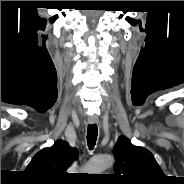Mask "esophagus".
<instances>
[{
    "label": "esophagus",
    "instance_id": "34e87169",
    "mask_svg": "<svg viewBox=\"0 0 184 184\" xmlns=\"http://www.w3.org/2000/svg\"><path fill=\"white\" fill-rule=\"evenodd\" d=\"M98 122H99L98 117H94V116L88 117L89 124H97Z\"/></svg>",
    "mask_w": 184,
    "mask_h": 184
}]
</instances>
